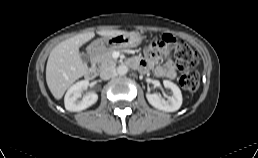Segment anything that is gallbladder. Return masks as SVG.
Masks as SVG:
<instances>
[{
	"label": "gallbladder",
	"instance_id": "gallbladder-1",
	"mask_svg": "<svg viewBox=\"0 0 258 158\" xmlns=\"http://www.w3.org/2000/svg\"><path fill=\"white\" fill-rule=\"evenodd\" d=\"M80 57H81V59H82V61H83L84 63H88L89 57H88V55H87L86 53L81 52V53H80Z\"/></svg>",
	"mask_w": 258,
	"mask_h": 158
}]
</instances>
